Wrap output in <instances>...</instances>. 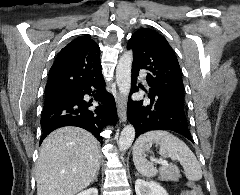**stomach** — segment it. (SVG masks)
<instances>
[{
  "label": "stomach",
  "instance_id": "0dacf381",
  "mask_svg": "<svg viewBox=\"0 0 240 195\" xmlns=\"http://www.w3.org/2000/svg\"><path fill=\"white\" fill-rule=\"evenodd\" d=\"M151 145H152V143H150V141H148V143H146V145H143V147H141L143 153H144V151H149Z\"/></svg>",
  "mask_w": 240,
  "mask_h": 195
}]
</instances>
